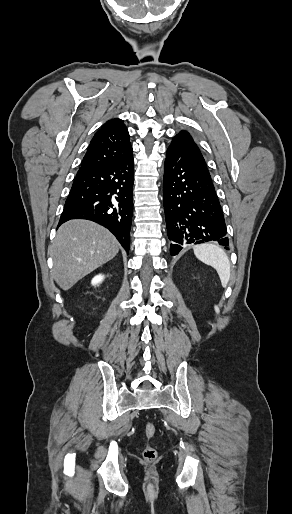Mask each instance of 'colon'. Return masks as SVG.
Segmentation results:
<instances>
[{"label":"colon","instance_id":"colon-1","mask_svg":"<svg viewBox=\"0 0 292 514\" xmlns=\"http://www.w3.org/2000/svg\"><path fill=\"white\" fill-rule=\"evenodd\" d=\"M144 432H145L147 439L151 440L156 434V427H155L154 423L151 421L146 422V424L144 426ZM142 455H143V459L145 461L152 462L157 459L158 452L153 445L148 444L143 449Z\"/></svg>","mask_w":292,"mask_h":514}]
</instances>
